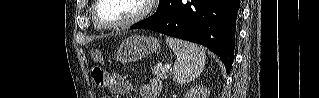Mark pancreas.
Wrapping results in <instances>:
<instances>
[{"label": "pancreas", "mask_w": 319, "mask_h": 98, "mask_svg": "<svg viewBox=\"0 0 319 98\" xmlns=\"http://www.w3.org/2000/svg\"><path fill=\"white\" fill-rule=\"evenodd\" d=\"M152 74L157 79H166L167 78V70H163L162 67L154 66L151 68Z\"/></svg>", "instance_id": "1"}]
</instances>
